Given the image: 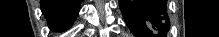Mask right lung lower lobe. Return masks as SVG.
<instances>
[{
    "instance_id": "obj_1",
    "label": "right lung lower lobe",
    "mask_w": 219,
    "mask_h": 37,
    "mask_svg": "<svg viewBox=\"0 0 219 37\" xmlns=\"http://www.w3.org/2000/svg\"><path fill=\"white\" fill-rule=\"evenodd\" d=\"M79 0H42L41 9L52 30L62 31L71 26L79 9Z\"/></svg>"
}]
</instances>
